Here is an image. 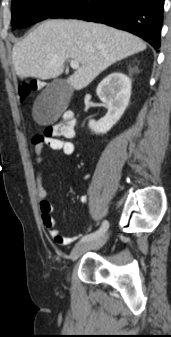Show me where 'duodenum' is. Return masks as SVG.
<instances>
[{
  "label": "duodenum",
  "instance_id": "duodenum-1",
  "mask_svg": "<svg viewBox=\"0 0 171 337\" xmlns=\"http://www.w3.org/2000/svg\"><path fill=\"white\" fill-rule=\"evenodd\" d=\"M65 116L70 117L75 122V118H74V115L72 113H67Z\"/></svg>",
  "mask_w": 171,
  "mask_h": 337
}]
</instances>
